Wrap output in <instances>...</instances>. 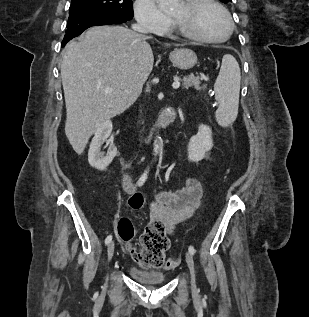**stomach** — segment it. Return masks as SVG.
Masks as SVG:
<instances>
[{"mask_svg": "<svg viewBox=\"0 0 309 317\" xmlns=\"http://www.w3.org/2000/svg\"><path fill=\"white\" fill-rule=\"evenodd\" d=\"M173 65L181 70H187L194 67L197 63L196 53L188 48L175 49L169 55Z\"/></svg>", "mask_w": 309, "mask_h": 317, "instance_id": "0dacf381", "label": "stomach"}]
</instances>
